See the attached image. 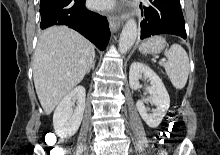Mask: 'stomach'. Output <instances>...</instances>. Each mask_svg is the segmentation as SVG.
Listing matches in <instances>:
<instances>
[{
    "mask_svg": "<svg viewBox=\"0 0 220 155\" xmlns=\"http://www.w3.org/2000/svg\"><path fill=\"white\" fill-rule=\"evenodd\" d=\"M164 44H165L164 38L157 36V37H153V38L147 40L146 42H144L139 47V50L144 54L150 53V52L157 53L161 49L164 48Z\"/></svg>",
    "mask_w": 220,
    "mask_h": 155,
    "instance_id": "obj_1",
    "label": "stomach"
}]
</instances>
